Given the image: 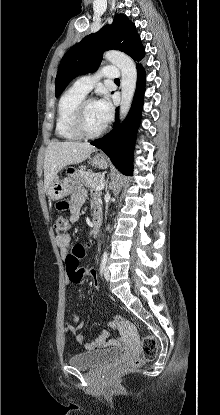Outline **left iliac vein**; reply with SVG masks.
<instances>
[{"mask_svg":"<svg viewBox=\"0 0 220 415\" xmlns=\"http://www.w3.org/2000/svg\"><path fill=\"white\" fill-rule=\"evenodd\" d=\"M102 273L104 278L108 281L110 279V271L106 266L102 268Z\"/></svg>","mask_w":220,"mask_h":415,"instance_id":"obj_1","label":"left iliac vein"}]
</instances>
